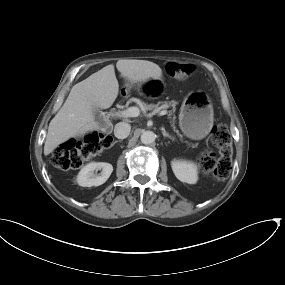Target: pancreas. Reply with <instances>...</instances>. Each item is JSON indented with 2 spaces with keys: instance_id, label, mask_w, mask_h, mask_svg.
Returning <instances> with one entry per match:
<instances>
[{
  "instance_id": "cf45deb5",
  "label": "pancreas",
  "mask_w": 285,
  "mask_h": 285,
  "mask_svg": "<svg viewBox=\"0 0 285 285\" xmlns=\"http://www.w3.org/2000/svg\"><path fill=\"white\" fill-rule=\"evenodd\" d=\"M169 105H171V106L174 107V106H175V103H174L173 101H171V102H158L157 104H145V103H143V104L141 105V109H142L143 111H147V110L159 111V110H161V109L167 108ZM173 113H174V110H173V111H170V112H169V117H170ZM174 120H175V116L173 117V122H174ZM177 133H178V131H177ZM178 135H179L180 137H182L181 134L178 133Z\"/></svg>"
}]
</instances>
